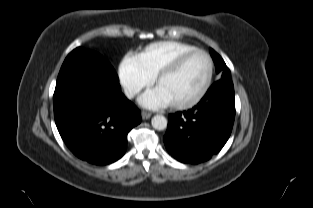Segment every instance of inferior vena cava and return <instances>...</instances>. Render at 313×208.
I'll list each match as a JSON object with an SVG mask.
<instances>
[{"mask_svg":"<svg viewBox=\"0 0 313 208\" xmlns=\"http://www.w3.org/2000/svg\"><path fill=\"white\" fill-rule=\"evenodd\" d=\"M139 92H140V89L136 87H126L124 89L125 96L129 99L133 98Z\"/></svg>","mask_w":313,"mask_h":208,"instance_id":"602c4592","label":"inferior vena cava"}]
</instances>
